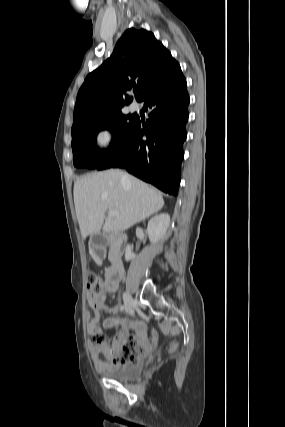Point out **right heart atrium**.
<instances>
[{"label": "right heart atrium", "mask_w": 285, "mask_h": 427, "mask_svg": "<svg viewBox=\"0 0 285 427\" xmlns=\"http://www.w3.org/2000/svg\"><path fill=\"white\" fill-rule=\"evenodd\" d=\"M115 143V131L110 126L100 127L94 134L93 146L99 153H106Z\"/></svg>", "instance_id": "1"}]
</instances>
